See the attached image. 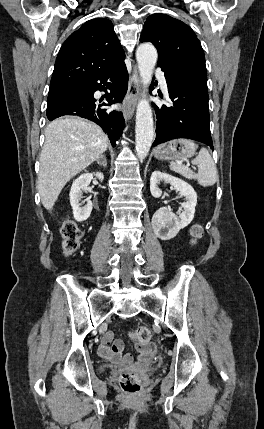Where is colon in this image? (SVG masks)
Returning <instances> with one entry per match:
<instances>
[{"mask_svg": "<svg viewBox=\"0 0 264 429\" xmlns=\"http://www.w3.org/2000/svg\"><path fill=\"white\" fill-rule=\"evenodd\" d=\"M60 233L64 253L67 255L74 253L79 246L82 236V232L78 224L71 219H67L63 222ZM191 233L194 239L200 238L202 235L201 226H194ZM129 335L136 345H145L151 340V332L144 326L131 330ZM118 382L122 390L128 394L135 395L141 390L140 379L134 373L122 372L118 377Z\"/></svg>", "mask_w": 264, "mask_h": 429, "instance_id": "5ec220e1", "label": "colon"}]
</instances>
